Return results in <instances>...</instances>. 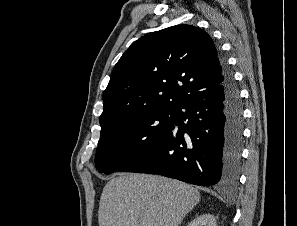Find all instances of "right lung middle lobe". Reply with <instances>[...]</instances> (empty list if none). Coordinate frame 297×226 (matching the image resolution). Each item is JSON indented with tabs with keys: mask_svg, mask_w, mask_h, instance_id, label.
Listing matches in <instances>:
<instances>
[{
	"mask_svg": "<svg viewBox=\"0 0 297 226\" xmlns=\"http://www.w3.org/2000/svg\"><path fill=\"white\" fill-rule=\"evenodd\" d=\"M176 110L135 115L101 130L95 163L100 172L120 171L151 147L175 123Z\"/></svg>",
	"mask_w": 297,
	"mask_h": 226,
	"instance_id": "dd1d6c3e",
	"label": "right lung middle lobe"
}]
</instances>
